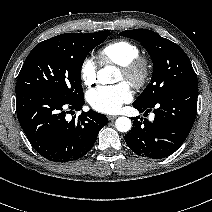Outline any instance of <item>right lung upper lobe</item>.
Returning <instances> with one entry per match:
<instances>
[{"label":"right lung upper lobe","instance_id":"cb5924a9","mask_svg":"<svg viewBox=\"0 0 212 212\" xmlns=\"http://www.w3.org/2000/svg\"><path fill=\"white\" fill-rule=\"evenodd\" d=\"M62 37H63V36H62V34H61V35L55 36V37L50 38V39L45 40V41H47V42H53V41H57V40L61 39Z\"/></svg>","mask_w":212,"mask_h":212}]
</instances>
